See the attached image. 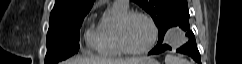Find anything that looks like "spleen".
<instances>
[{"label": "spleen", "mask_w": 242, "mask_h": 64, "mask_svg": "<svg viewBox=\"0 0 242 64\" xmlns=\"http://www.w3.org/2000/svg\"><path fill=\"white\" fill-rule=\"evenodd\" d=\"M165 63L166 64H189L187 60L170 54L166 55Z\"/></svg>", "instance_id": "1"}]
</instances>
